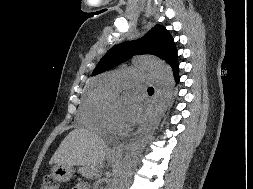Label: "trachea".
I'll list each match as a JSON object with an SVG mask.
<instances>
[{"label": "trachea", "mask_w": 253, "mask_h": 189, "mask_svg": "<svg viewBox=\"0 0 253 189\" xmlns=\"http://www.w3.org/2000/svg\"><path fill=\"white\" fill-rule=\"evenodd\" d=\"M148 91L154 92V88L153 87H149Z\"/></svg>", "instance_id": "obj_1"}]
</instances>
